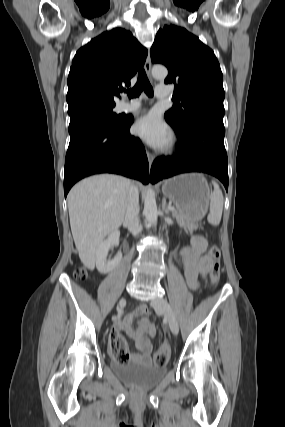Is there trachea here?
Masks as SVG:
<instances>
[{
    "label": "trachea",
    "instance_id": "1",
    "mask_svg": "<svg viewBox=\"0 0 285 427\" xmlns=\"http://www.w3.org/2000/svg\"><path fill=\"white\" fill-rule=\"evenodd\" d=\"M143 90L149 97H153V88L146 76L145 71L141 69L138 73L137 83L132 89L126 90V92L129 98H135L138 97Z\"/></svg>",
    "mask_w": 285,
    "mask_h": 427
}]
</instances>
